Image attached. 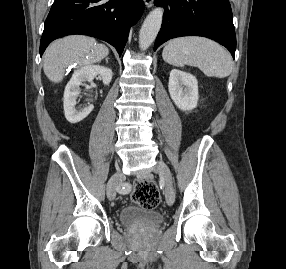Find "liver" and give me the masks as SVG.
<instances>
[{"label":"liver","mask_w":286,"mask_h":269,"mask_svg":"<svg viewBox=\"0 0 286 269\" xmlns=\"http://www.w3.org/2000/svg\"><path fill=\"white\" fill-rule=\"evenodd\" d=\"M109 49L91 37L76 35L54 41L44 55L43 69L47 78L61 82L65 69L72 63L89 66L107 57Z\"/></svg>","instance_id":"obj_1"}]
</instances>
